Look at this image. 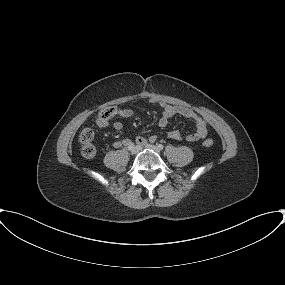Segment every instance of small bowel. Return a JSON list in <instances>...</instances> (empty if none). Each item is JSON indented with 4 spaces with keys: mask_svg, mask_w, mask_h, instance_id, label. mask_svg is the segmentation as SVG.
<instances>
[{
    "mask_svg": "<svg viewBox=\"0 0 285 285\" xmlns=\"http://www.w3.org/2000/svg\"><path fill=\"white\" fill-rule=\"evenodd\" d=\"M148 101L152 104L157 105L161 109V117L159 118L158 125L160 127H166L169 123L170 118L173 116H181L190 120L195 126V132L185 135L180 131L173 130L168 133V138L176 141H188V142H197L203 140L208 133V127L206 121L195 111L192 109L176 106L169 104L159 98L149 97ZM117 114L123 118H129L133 116L134 111L131 108H119L117 110ZM95 125L97 127L103 128L107 125V120L99 117L95 120ZM115 130H121L123 128V124L120 121H116L113 124ZM135 141L138 145L143 146L146 144L147 139L143 136H137ZM150 142L156 141V136L152 135L149 137ZM130 142L128 139H124L122 141L114 142V147L126 146L127 143Z\"/></svg>",
    "mask_w": 285,
    "mask_h": 285,
    "instance_id": "small-bowel-1",
    "label": "small bowel"
}]
</instances>
